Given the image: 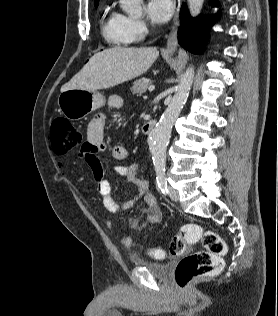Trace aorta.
Instances as JSON below:
<instances>
[{
	"mask_svg": "<svg viewBox=\"0 0 278 316\" xmlns=\"http://www.w3.org/2000/svg\"><path fill=\"white\" fill-rule=\"evenodd\" d=\"M203 2L204 0H188L189 11L193 17L199 15ZM141 3L142 0H120L122 10L134 18L142 15ZM193 78L194 69L189 67L182 76L171 103L149 134V150L152 155L154 168L157 171L165 169L166 149L171 137L172 127L187 100Z\"/></svg>",
	"mask_w": 278,
	"mask_h": 316,
	"instance_id": "obj_1",
	"label": "aorta"
}]
</instances>
